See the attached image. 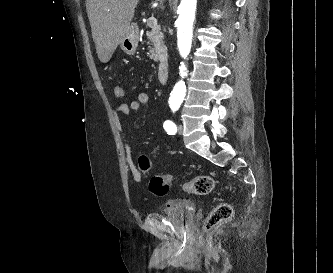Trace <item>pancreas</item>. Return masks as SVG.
Returning a JSON list of instances; mask_svg holds the SVG:
<instances>
[{
	"label": "pancreas",
	"mask_w": 333,
	"mask_h": 273,
	"mask_svg": "<svg viewBox=\"0 0 333 273\" xmlns=\"http://www.w3.org/2000/svg\"><path fill=\"white\" fill-rule=\"evenodd\" d=\"M147 39L149 41V57L154 61H158L161 57L167 54L166 46L163 42L164 36L159 28L153 29L146 33Z\"/></svg>",
	"instance_id": "obj_1"
}]
</instances>
